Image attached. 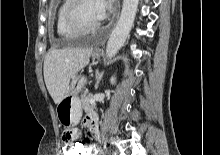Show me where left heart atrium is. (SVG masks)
<instances>
[{
  "label": "left heart atrium",
  "instance_id": "obj_1",
  "mask_svg": "<svg viewBox=\"0 0 220 155\" xmlns=\"http://www.w3.org/2000/svg\"><path fill=\"white\" fill-rule=\"evenodd\" d=\"M96 9L101 19H103L111 9L110 0H94Z\"/></svg>",
  "mask_w": 220,
  "mask_h": 155
}]
</instances>
